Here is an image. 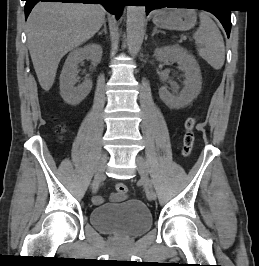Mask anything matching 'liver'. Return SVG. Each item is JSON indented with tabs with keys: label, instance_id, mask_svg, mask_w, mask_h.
<instances>
[{
	"label": "liver",
	"instance_id": "6515ba94",
	"mask_svg": "<svg viewBox=\"0 0 259 266\" xmlns=\"http://www.w3.org/2000/svg\"><path fill=\"white\" fill-rule=\"evenodd\" d=\"M105 9L83 3L40 2L27 20V43L43 90L54 83L61 58L102 27Z\"/></svg>",
	"mask_w": 259,
	"mask_h": 266
}]
</instances>
